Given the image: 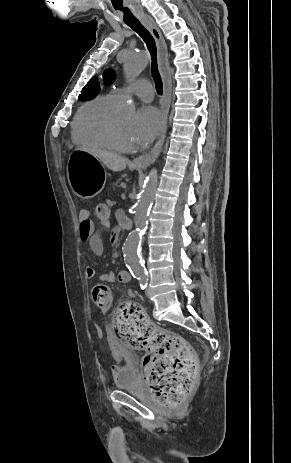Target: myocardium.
Listing matches in <instances>:
<instances>
[{"label": "myocardium", "mask_w": 291, "mask_h": 463, "mask_svg": "<svg viewBox=\"0 0 291 463\" xmlns=\"http://www.w3.org/2000/svg\"><path fill=\"white\" fill-rule=\"evenodd\" d=\"M107 136L112 148L119 152L128 153L135 149L133 145H128L123 141L116 119L110 121L107 127Z\"/></svg>", "instance_id": "1"}]
</instances>
